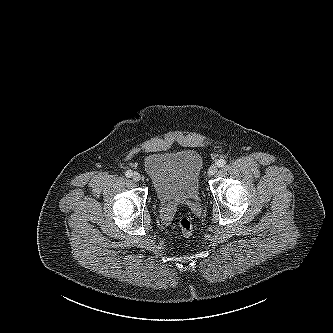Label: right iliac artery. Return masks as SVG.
Segmentation results:
<instances>
[{"label": "right iliac artery", "mask_w": 333, "mask_h": 333, "mask_svg": "<svg viewBox=\"0 0 333 333\" xmlns=\"http://www.w3.org/2000/svg\"><path fill=\"white\" fill-rule=\"evenodd\" d=\"M125 175H126V177L130 178L133 175V173L131 170H128L125 172Z\"/></svg>", "instance_id": "1"}]
</instances>
